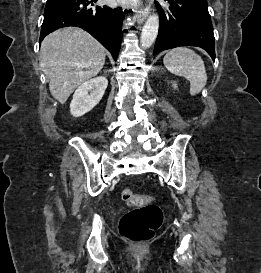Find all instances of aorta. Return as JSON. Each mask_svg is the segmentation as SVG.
<instances>
[{
  "instance_id": "1",
  "label": "aorta",
  "mask_w": 261,
  "mask_h": 273,
  "mask_svg": "<svg viewBox=\"0 0 261 273\" xmlns=\"http://www.w3.org/2000/svg\"><path fill=\"white\" fill-rule=\"evenodd\" d=\"M159 29V17L156 13L148 16L141 33V45L144 48L152 46L156 40Z\"/></svg>"
}]
</instances>
